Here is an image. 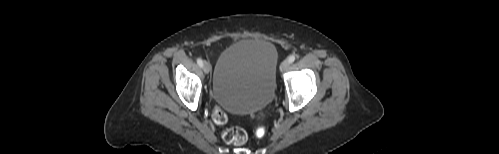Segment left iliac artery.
<instances>
[{
  "mask_svg": "<svg viewBox=\"0 0 499 154\" xmlns=\"http://www.w3.org/2000/svg\"><path fill=\"white\" fill-rule=\"evenodd\" d=\"M295 59H296L295 55H291V56H289L288 61H289V63H293L295 61Z\"/></svg>",
  "mask_w": 499,
  "mask_h": 154,
  "instance_id": "1",
  "label": "left iliac artery"
}]
</instances>
